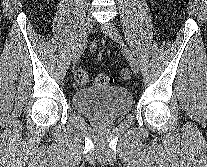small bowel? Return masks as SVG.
<instances>
[{"mask_svg": "<svg viewBox=\"0 0 207 167\" xmlns=\"http://www.w3.org/2000/svg\"><path fill=\"white\" fill-rule=\"evenodd\" d=\"M91 49H92V50H95V49H96V45H95V44H92V45H91Z\"/></svg>", "mask_w": 207, "mask_h": 167, "instance_id": "obj_1", "label": "small bowel"}]
</instances>
